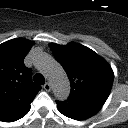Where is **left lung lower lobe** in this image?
<instances>
[{"instance_id":"0a47b994","label":"left lung lower lobe","mask_w":128,"mask_h":128,"mask_svg":"<svg viewBox=\"0 0 128 128\" xmlns=\"http://www.w3.org/2000/svg\"><path fill=\"white\" fill-rule=\"evenodd\" d=\"M57 106L62 114L76 120H85L90 118L100 110L99 107L74 104L67 101L57 102Z\"/></svg>"}]
</instances>
